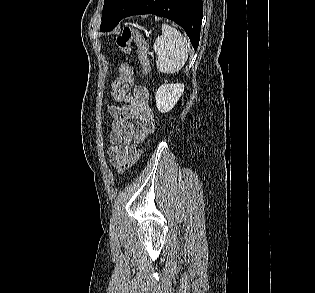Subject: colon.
I'll list each match as a JSON object with an SVG mask.
<instances>
[{"label": "colon", "mask_w": 315, "mask_h": 293, "mask_svg": "<svg viewBox=\"0 0 315 293\" xmlns=\"http://www.w3.org/2000/svg\"><path fill=\"white\" fill-rule=\"evenodd\" d=\"M132 40L137 41V56L139 61H141L142 70L145 75L149 74L150 65L148 62V42L146 38L136 29L129 26L124 27L121 32L116 36V45L123 54V59L119 67V78H114L112 83V93L118 94L124 88L123 85H134L135 80L133 78V69L131 65L126 61V57L130 51V43ZM140 151H135L134 154L125 161L119 168L120 173H123L129 169L139 158Z\"/></svg>", "instance_id": "colon-1"}]
</instances>
